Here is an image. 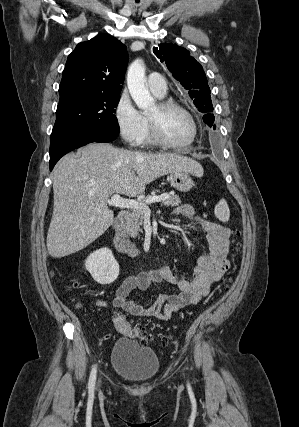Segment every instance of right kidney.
Here are the masks:
<instances>
[{"instance_id":"1","label":"right kidney","mask_w":299,"mask_h":427,"mask_svg":"<svg viewBox=\"0 0 299 427\" xmlns=\"http://www.w3.org/2000/svg\"><path fill=\"white\" fill-rule=\"evenodd\" d=\"M85 267L93 279L102 285L114 282L119 275V264L108 248L91 253L85 261Z\"/></svg>"}]
</instances>
